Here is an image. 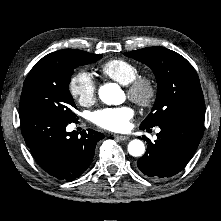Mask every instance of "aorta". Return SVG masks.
Listing matches in <instances>:
<instances>
[{"label": "aorta", "instance_id": "762f6f07", "mask_svg": "<svg viewBox=\"0 0 221 221\" xmlns=\"http://www.w3.org/2000/svg\"><path fill=\"white\" fill-rule=\"evenodd\" d=\"M120 88L115 83H106L100 86L98 95L101 101L107 105L118 104ZM128 152L134 157L142 156L145 152L144 143L140 139H134L128 144Z\"/></svg>", "mask_w": 221, "mask_h": 221}]
</instances>
